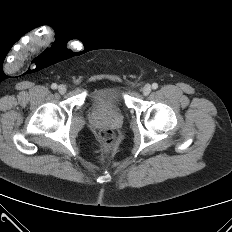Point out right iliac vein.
Listing matches in <instances>:
<instances>
[{
  "label": "right iliac vein",
  "instance_id": "63e3f726",
  "mask_svg": "<svg viewBox=\"0 0 232 232\" xmlns=\"http://www.w3.org/2000/svg\"><path fill=\"white\" fill-rule=\"evenodd\" d=\"M66 90H67V88H66L65 85H59L58 86L59 93L64 94L66 92Z\"/></svg>",
  "mask_w": 232,
  "mask_h": 232
}]
</instances>
